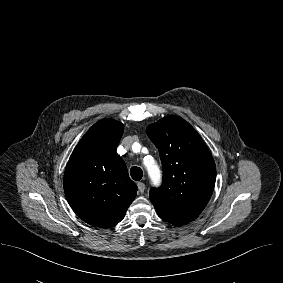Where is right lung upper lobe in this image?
<instances>
[{"mask_svg": "<svg viewBox=\"0 0 283 283\" xmlns=\"http://www.w3.org/2000/svg\"><path fill=\"white\" fill-rule=\"evenodd\" d=\"M124 125L113 119L94 124L75 147L64 173V191L73 211L102 228L119 223L137 193L116 153Z\"/></svg>", "mask_w": 283, "mask_h": 283, "instance_id": "obj_1", "label": "right lung upper lobe"}]
</instances>
